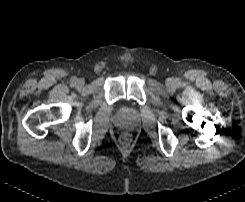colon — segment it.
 <instances>
[{
  "instance_id": "obj_1",
  "label": "colon",
  "mask_w": 245,
  "mask_h": 202,
  "mask_svg": "<svg viewBox=\"0 0 245 202\" xmlns=\"http://www.w3.org/2000/svg\"><path fill=\"white\" fill-rule=\"evenodd\" d=\"M123 139H124L125 141H129V140H130V136H129L128 134H125V135L123 136Z\"/></svg>"
}]
</instances>
